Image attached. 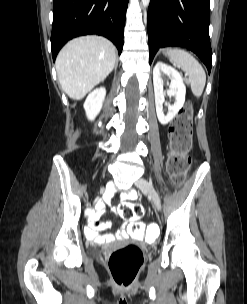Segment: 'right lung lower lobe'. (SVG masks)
I'll list each match as a JSON object with an SVG mask.
<instances>
[{"label": "right lung lower lobe", "instance_id": "obj_1", "mask_svg": "<svg viewBox=\"0 0 247 304\" xmlns=\"http://www.w3.org/2000/svg\"><path fill=\"white\" fill-rule=\"evenodd\" d=\"M128 1L53 0V60L68 40L86 34L105 36L115 44L120 54Z\"/></svg>", "mask_w": 247, "mask_h": 304}]
</instances>
